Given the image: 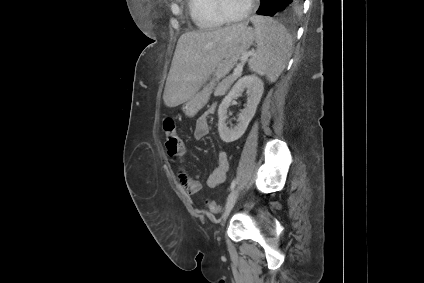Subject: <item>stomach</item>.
Wrapping results in <instances>:
<instances>
[{
	"label": "stomach",
	"instance_id": "obj_1",
	"mask_svg": "<svg viewBox=\"0 0 424 283\" xmlns=\"http://www.w3.org/2000/svg\"><path fill=\"white\" fill-rule=\"evenodd\" d=\"M255 36V30L251 27H247L234 38L222 59L213 70V78L210 79V82L208 84L204 83L203 89L182 105V110L187 116H194L207 104L216 82L225 77L235 67L241 56L244 55L252 45Z\"/></svg>",
	"mask_w": 424,
	"mask_h": 283
}]
</instances>
